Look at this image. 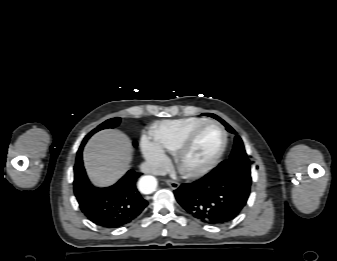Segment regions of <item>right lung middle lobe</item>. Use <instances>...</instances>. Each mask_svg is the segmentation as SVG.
Masks as SVG:
<instances>
[{"label":"right lung middle lobe","mask_w":337,"mask_h":261,"mask_svg":"<svg viewBox=\"0 0 337 261\" xmlns=\"http://www.w3.org/2000/svg\"><path fill=\"white\" fill-rule=\"evenodd\" d=\"M120 123V118H112L109 119L105 122H103L102 124H100L97 128H95L93 131H91L83 140V143L85 144L87 142V140L96 132L102 130V129H106V128H114L116 126H118ZM137 143L134 142V146H136Z\"/></svg>","instance_id":"1"}]
</instances>
